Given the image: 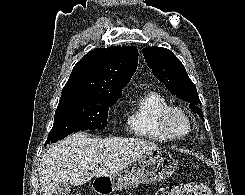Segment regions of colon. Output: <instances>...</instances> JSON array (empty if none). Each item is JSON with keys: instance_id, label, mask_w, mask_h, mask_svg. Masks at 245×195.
<instances>
[{"instance_id": "colon-1", "label": "colon", "mask_w": 245, "mask_h": 195, "mask_svg": "<svg viewBox=\"0 0 245 195\" xmlns=\"http://www.w3.org/2000/svg\"><path fill=\"white\" fill-rule=\"evenodd\" d=\"M166 195H211V191L205 184L189 182L173 189Z\"/></svg>"}]
</instances>
